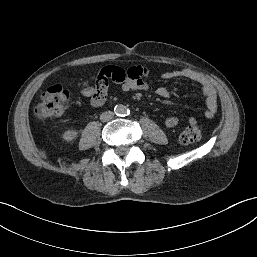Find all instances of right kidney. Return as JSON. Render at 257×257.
<instances>
[{
	"label": "right kidney",
	"instance_id": "ca27d5eb",
	"mask_svg": "<svg viewBox=\"0 0 257 257\" xmlns=\"http://www.w3.org/2000/svg\"><path fill=\"white\" fill-rule=\"evenodd\" d=\"M77 136V131L75 129H69L63 134V138L66 141H71Z\"/></svg>",
	"mask_w": 257,
	"mask_h": 257
}]
</instances>
